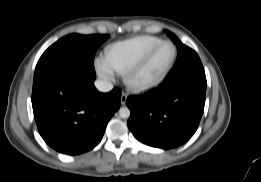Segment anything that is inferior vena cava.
Masks as SVG:
<instances>
[{
  "label": "inferior vena cava",
  "instance_id": "obj_1",
  "mask_svg": "<svg viewBox=\"0 0 261 182\" xmlns=\"http://www.w3.org/2000/svg\"><path fill=\"white\" fill-rule=\"evenodd\" d=\"M94 84L100 92H109L113 89V84L108 80L98 79Z\"/></svg>",
  "mask_w": 261,
  "mask_h": 182
}]
</instances>
